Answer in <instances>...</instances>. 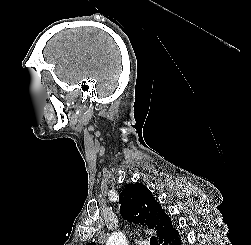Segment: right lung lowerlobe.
I'll use <instances>...</instances> for the list:
<instances>
[{"label":"right lung lower lobe","instance_id":"1","mask_svg":"<svg viewBox=\"0 0 251 245\" xmlns=\"http://www.w3.org/2000/svg\"><path fill=\"white\" fill-rule=\"evenodd\" d=\"M160 243H162V245H181L180 238L176 230L171 234V236L164 239V241Z\"/></svg>","mask_w":251,"mask_h":245}]
</instances>
